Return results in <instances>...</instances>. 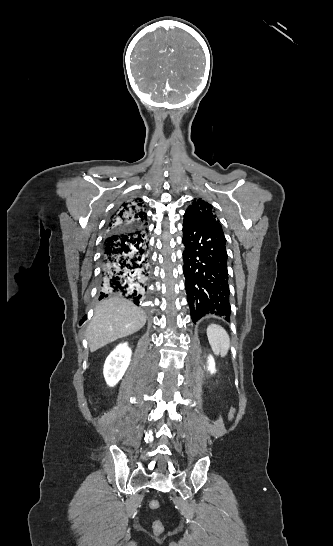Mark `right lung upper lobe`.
Segmentation results:
<instances>
[{"mask_svg":"<svg viewBox=\"0 0 333 546\" xmlns=\"http://www.w3.org/2000/svg\"><path fill=\"white\" fill-rule=\"evenodd\" d=\"M142 207V200L139 198L129 199L122 203L111 216L106 227V233L139 229L147 225L146 214Z\"/></svg>","mask_w":333,"mask_h":546,"instance_id":"right-lung-upper-lobe-1","label":"right lung upper lobe"}]
</instances>
